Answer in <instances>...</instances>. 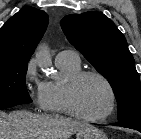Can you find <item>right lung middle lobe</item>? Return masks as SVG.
<instances>
[{"label": "right lung middle lobe", "mask_w": 141, "mask_h": 139, "mask_svg": "<svg viewBox=\"0 0 141 139\" xmlns=\"http://www.w3.org/2000/svg\"><path fill=\"white\" fill-rule=\"evenodd\" d=\"M27 63L0 64V109L31 103L25 84Z\"/></svg>", "instance_id": "obj_1"}]
</instances>
